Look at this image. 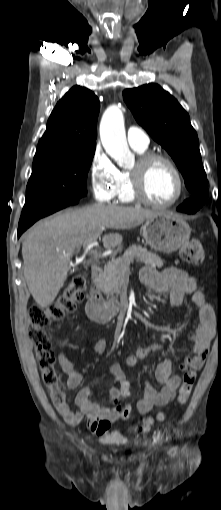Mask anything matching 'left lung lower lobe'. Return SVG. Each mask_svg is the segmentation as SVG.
Masks as SVG:
<instances>
[{
	"mask_svg": "<svg viewBox=\"0 0 221 510\" xmlns=\"http://www.w3.org/2000/svg\"><path fill=\"white\" fill-rule=\"evenodd\" d=\"M199 209H200V207L197 206V203H195L191 200H186L182 205H180L178 207V211H182V212H185L188 214L195 213ZM213 218L219 226L221 224L220 216L218 215V217H217V216L213 215Z\"/></svg>",
	"mask_w": 221,
	"mask_h": 510,
	"instance_id": "1",
	"label": "left lung lower lobe"
}]
</instances>
